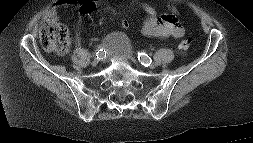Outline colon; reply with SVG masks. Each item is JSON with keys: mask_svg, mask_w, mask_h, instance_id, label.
I'll return each instance as SVG.
<instances>
[{"mask_svg": "<svg viewBox=\"0 0 253 143\" xmlns=\"http://www.w3.org/2000/svg\"><path fill=\"white\" fill-rule=\"evenodd\" d=\"M69 31L67 27L59 22L46 21L40 31V44L50 52L64 53L69 47ZM191 46V39L181 41L179 48L187 51Z\"/></svg>", "mask_w": 253, "mask_h": 143, "instance_id": "obj_1", "label": "colon"}]
</instances>
